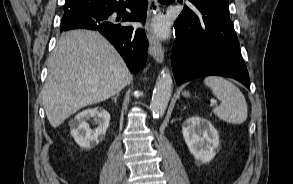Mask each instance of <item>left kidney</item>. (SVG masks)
<instances>
[{
	"label": "left kidney",
	"instance_id": "obj_1",
	"mask_svg": "<svg viewBox=\"0 0 293 184\" xmlns=\"http://www.w3.org/2000/svg\"><path fill=\"white\" fill-rule=\"evenodd\" d=\"M182 133L197 163H208L215 157L219 135L208 120L199 116L190 117L183 123Z\"/></svg>",
	"mask_w": 293,
	"mask_h": 184
}]
</instances>
